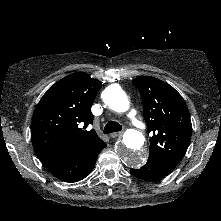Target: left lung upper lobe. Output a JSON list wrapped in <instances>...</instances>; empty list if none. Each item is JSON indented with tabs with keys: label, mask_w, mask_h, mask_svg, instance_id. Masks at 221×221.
<instances>
[{
	"label": "left lung upper lobe",
	"mask_w": 221,
	"mask_h": 221,
	"mask_svg": "<svg viewBox=\"0 0 221 221\" xmlns=\"http://www.w3.org/2000/svg\"><path fill=\"white\" fill-rule=\"evenodd\" d=\"M133 84L140 91L147 133H151L149 158L170 173L185 155L192 124L189 110L180 94L169 84L142 76Z\"/></svg>",
	"instance_id": "left-lung-upper-lobe-1"
}]
</instances>
